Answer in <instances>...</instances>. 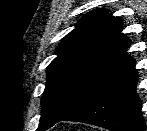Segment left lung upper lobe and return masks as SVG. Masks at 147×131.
Returning a JSON list of instances; mask_svg holds the SVG:
<instances>
[{"instance_id": "1", "label": "left lung upper lobe", "mask_w": 147, "mask_h": 131, "mask_svg": "<svg viewBox=\"0 0 147 131\" xmlns=\"http://www.w3.org/2000/svg\"><path fill=\"white\" fill-rule=\"evenodd\" d=\"M122 22L105 10H96L66 35L58 56L47 67L38 131H45L77 111L130 56L121 34Z\"/></svg>"}]
</instances>
